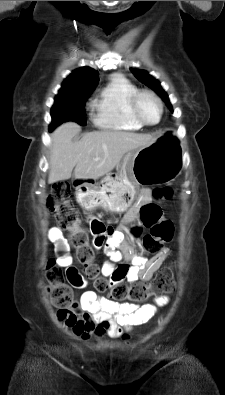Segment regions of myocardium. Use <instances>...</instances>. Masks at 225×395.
<instances>
[{
    "label": "myocardium",
    "instance_id": "obj_1",
    "mask_svg": "<svg viewBox=\"0 0 225 395\" xmlns=\"http://www.w3.org/2000/svg\"><path fill=\"white\" fill-rule=\"evenodd\" d=\"M144 97H149L153 99L159 109V117L156 122L150 123L147 122L140 113V102ZM130 111L133 118L142 126H155L160 123L163 117L164 107L163 102L160 97L150 90H138L130 100Z\"/></svg>",
    "mask_w": 225,
    "mask_h": 395
}]
</instances>
